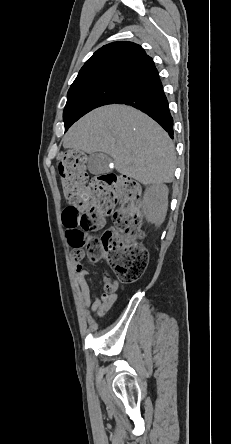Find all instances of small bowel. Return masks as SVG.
Instances as JSON below:
<instances>
[{
    "mask_svg": "<svg viewBox=\"0 0 231 444\" xmlns=\"http://www.w3.org/2000/svg\"><path fill=\"white\" fill-rule=\"evenodd\" d=\"M66 236L68 243L75 248L73 252L74 267L76 270V280L81 292L82 303L84 307L94 311L97 317H103L116 303L115 294L102 293L91 297L92 283L89 272L83 266V252L80 248L83 246L85 234L67 229Z\"/></svg>",
    "mask_w": 231,
    "mask_h": 444,
    "instance_id": "small-bowel-1",
    "label": "small bowel"
}]
</instances>
